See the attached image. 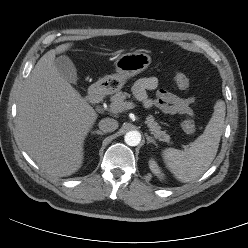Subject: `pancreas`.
I'll use <instances>...</instances> for the list:
<instances>
[{
	"mask_svg": "<svg viewBox=\"0 0 248 248\" xmlns=\"http://www.w3.org/2000/svg\"><path fill=\"white\" fill-rule=\"evenodd\" d=\"M129 97V94L126 92H117L115 95L111 97V106L114 107L115 111L121 112L123 111V105L125 103V99ZM145 123L147 124L149 131L154 135L155 138L160 141L169 142L170 135L166 134L165 131L161 130L159 124L155 121L152 115L147 116Z\"/></svg>",
	"mask_w": 248,
	"mask_h": 248,
	"instance_id": "obj_1",
	"label": "pancreas"
}]
</instances>
